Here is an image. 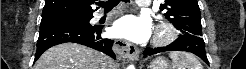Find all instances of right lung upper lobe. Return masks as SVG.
<instances>
[{"label":"right lung upper lobe","mask_w":246,"mask_h":69,"mask_svg":"<svg viewBox=\"0 0 246 69\" xmlns=\"http://www.w3.org/2000/svg\"><path fill=\"white\" fill-rule=\"evenodd\" d=\"M94 0H46L42 17L60 14H92ZM97 4V3H96Z\"/></svg>","instance_id":"obj_1"}]
</instances>
